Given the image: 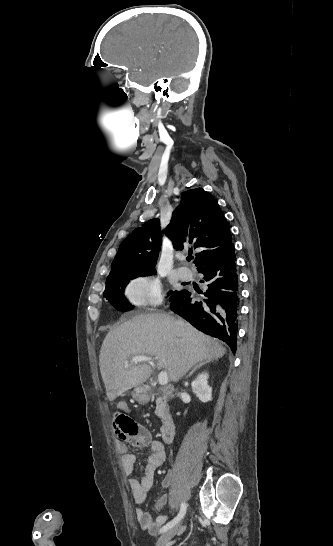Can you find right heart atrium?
<instances>
[{
  "instance_id": "right-heart-atrium-1",
  "label": "right heart atrium",
  "mask_w": 333,
  "mask_h": 546,
  "mask_svg": "<svg viewBox=\"0 0 333 546\" xmlns=\"http://www.w3.org/2000/svg\"><path fill=\"white\" fill-rule=\"evenodd\" d=\"M127 306L132 308L156 307L162 302V286L151 276H139L124 289Z\"/></svg>"
}]
</instances>
